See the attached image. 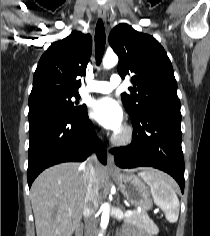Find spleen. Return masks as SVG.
I'll return each instance as SVG.
<instances>
[{
  "instance_id": "spleen-1",
  "label": "spleen",
  "mask_w": 210,
  "mask_h": 236,
  "mask_svg": "<svg viewBox=\"0 0 210 236\" xmlns=\"http://www.w3.org/2000/svg\"><path fill=\"white\" fill-rule=\"evenodd\" d=\"M139 176L150 186L154 202L164 211L166 219L170 223L177 222L179 199L169 177L155 170L142 171Z\"/></svg>"
}]
</instances>
